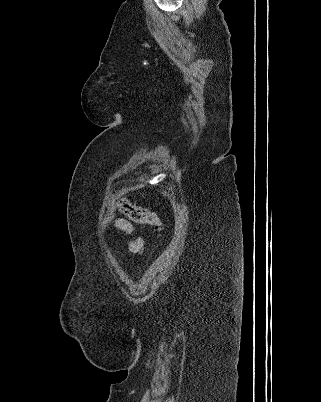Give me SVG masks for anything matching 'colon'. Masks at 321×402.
<instances>
[{"label": "colon", "mask_w": 321, "mask_h": 402, "mask_svg": "<svg viewBox=\"0 0 321 402\" xmlns=\"http://www.w3.org/2000/svg\"><path fill=\"white\" fill-rule=\"evenodd\" d=\"M116 208L137 224L152 226L159 232L163 230L162 220L156 212L136 206L129 199H119Z\"/></svg>", "instance_id": "colon-1"}]
</instances>
